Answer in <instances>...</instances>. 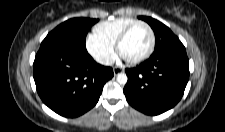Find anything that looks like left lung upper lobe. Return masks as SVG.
Instances as JSON below:
<instances>
[{
    "mask_svg": "<svg viewBox=\"0 0 225 132\" xmlns=\"http://www.w3.org/2000/svg\"><path fill=\"white\" fill-rule=\"evenodd\" d=\"M138 18L146 21L155 33V49L151 56L172 48L183 47L179 38L163 23L151 17L139 16Z\"/></svg>",
    "mask_w": 225,
    "mask_h": 132,
    "instance_id": "left-lung-upper-lobe-1",
    "label": "left lung upper lobe"
}]
</instances>
